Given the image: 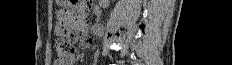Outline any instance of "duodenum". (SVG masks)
Here are the masks:
<instances>
[{
	"instance_id": "duodenum-1",
	"label": "duodenum",
	"mask_w": 232,
	"mask_h": 65,
	"mask_svg": "<svg viewBox=\"0 0 232 65\" xmlns=\"http://www.w3.org/2000/svg\"><path fill=\"white\" fill-rule=\"evenodd\" d=\"M80 26H81V29L82 30H85L86 27H87V22L85 19H82L81 22H80Z\"/></svg>"
}]
</instances>
